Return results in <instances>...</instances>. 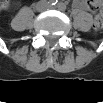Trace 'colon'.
Here are the masks:
<instances>
[{"label": "colon", "instance_id": "colon-1", "mask_svg": "<svg viewBox=\"0 0 103 103\" xmlns=\"http://www.w3.org/2000/svg\"><path fill=\"white\" fill-rule=\"evenodd\" d=\"M89 9L96 13L93 26L96 30H100L103 26V17H102V5L98 0H93L88 2Z\"/></svg>", "mask_w": 103, "mask_h": 103}]
</instances>
